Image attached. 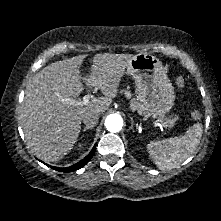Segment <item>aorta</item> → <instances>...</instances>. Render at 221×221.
I'll list each match as a JSON object with an SVG mask.
<instances>
[{
    "label": "aorta",
    "mask_w": 221,
    "mask_h": 221,
    "mask_svg": "<svg viewBox=\"0 0 221 221\" xmlns=\"http://www.w3.org/2000/svg\"><path fill=\"white\" fill-rule=\"evenodd\" d=\"M105 126L110 132H119L123 126V120L118 114H110L105 120Z\"/></svg>",
    "instance_id": "1"
}]
</instances>
